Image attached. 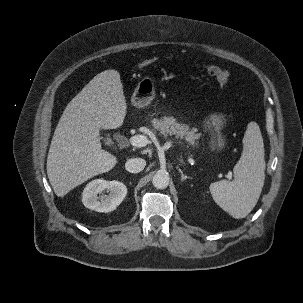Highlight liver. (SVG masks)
Masks as SVG:
<instances>
[{
    "mask_svg": "<svg viewBox=\"0 0 303 303\" xmlns=\"http://www.w3.org/2000/svg\"><path fill=\"white\" fill-rule=\"evenodd\" d=\"M127 113L120 74H97L67 105L47 157V175L58 197L114 168L117 158L101 149L100 130L119 128Z\"/></svg>",
    "mask_w": 303,
    "mask_h": 303,
    "instance_id": "1",
    "label": "liver"
}]
</instances>
